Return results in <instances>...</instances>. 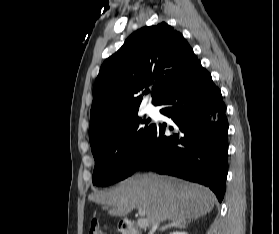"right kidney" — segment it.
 Listing matches in <instances>:
<instances>
[{
  "instance_id": "1",
  "label": "right kidney",
  "mask_w": 279,
  "mask_h": 234,
  "mask_svg": "<svg viewBox=\"0 0 279 234\" xmlns=\"http://www.w3.org/2000/svg\"><path fill=\"white\" fill-rule=\"evenodd\" d=\"M170 234H188L186 232H182V231H175V232H171Z\"/></svg>"
}]
</instances>
